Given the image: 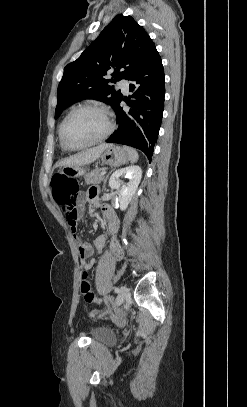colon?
<instances>
[{"label":"colon","instance_id":"obj_1","mask_svg":"<svg viewBox=\"0 0 247 407\" xmlns=\"http://www.w3.org/2000/svg\"><path fill=\"white\" fill-rule=\"evenodd\" d=\"M53 198L57 203H63L74 197L79 189V184L75 179L68 178L64 174H56L51 180ZM80 292L84 300L88 303H102L103 300L98 298L92 291L88 277V272L84 271L81 282Z\"/></svg>","mask_w":247,"mask_h":407}]
</instances>
